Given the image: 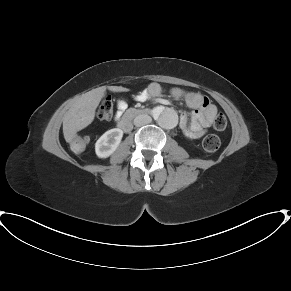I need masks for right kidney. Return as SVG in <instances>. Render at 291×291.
Segmentation results:
<instances>
[{
    "label": "right kidney",
    "instance_id": "1",
    "mask_svg": "<svg viewBox=\"0 0 291 291\" xmlns=\"http://www.w3.org/2000/svg\"><path fill=\"white\" fill-rule=\"evenodd\" d=\"M123 137V131L113 128L106 131L96 142L95 152L99 158L109 157L119 146Z\"/></svg>",
    "mask_w": 291,
    "mask_h": 291
}]
</instances>
